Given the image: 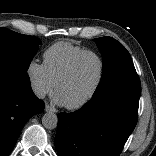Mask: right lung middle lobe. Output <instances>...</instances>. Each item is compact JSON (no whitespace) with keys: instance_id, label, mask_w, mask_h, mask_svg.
<instances>
[{"instance_id":"1","label":"right lung middle lobe","mask_w":156,"mask_h":156,"mask_svg":"<svg viewBox=\"0 0 156 156\" xmlns=\"http://www.w3.org/2000/svg\"><path fill=\"white\" fill-rule=\"evenodd\" d=\"M40 44L35 36L0 28V74L30 80L27 70Z\"/></svg>"}]
</instances>
